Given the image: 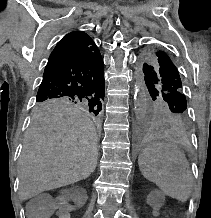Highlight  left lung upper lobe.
I'll use <instances>...</instances> for the list:
<instances>
[{"label":"left lung upper lobe","instance_id":"left-lung-upper-lobe-1","mask_svg":"<svg viewBox=\"0 0 211 218\" xmlns=\"http://www.w3.org/2000/svg\"><path fill=\"white\" fill-rule=\"evenodd\" d=\"M141 62L152 98L144 107V116L184 133L188 127L187 101L176 66L166 52L156 47L146 50Z\"/></svg>","mask_w":211,"mask_h":218}]
</instances>
